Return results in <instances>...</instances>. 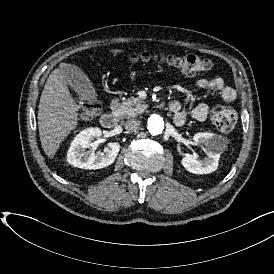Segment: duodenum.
Instances as JSON below:
<instances>
[{"label":"duodenum","mask_w":274,"mask_h":274,"mask_svg":"<svg viewBox=\"0 0 274 274\" xmlns=\"http://www.w3.org/2000/svg\"><path fill=\"white\" fill-rule=\"evenodd\" d=\"M118 104H119V100L116 98H113L110 101V111L105 113L101 117L100 122L105 129L111 130L117 127L118 115L116 113V110L118 108Z\"/></svg>","instance_id":"obj_1"}]
</instances>
